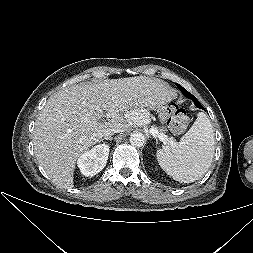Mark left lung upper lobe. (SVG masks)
Here are the masks:
<instances>
[{
  "instance_id": "left-lung-upper-lobe-1",
  "label": "left lung upper lobe",
  "mask_w": 253,
  "mask_h": 253,
  "mask_svg": "<svg viewBox=\"0 0 253 253\" xmlns=\"http://www.w3.org/2000/svg\"><path fill=\"white\" fill-rule=\"evenodd\" d=\"M176 85L186 97H188L189 99L191 98L192 94H190L188 91H186L181 85H179V84H176Z\"/></svg>"
}]
</instances>
